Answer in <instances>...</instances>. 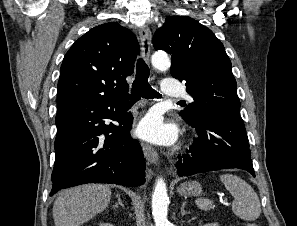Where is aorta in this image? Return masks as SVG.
Listing matches in <instances>:
<instances>
[{"label":"aorta","mask_w":297,"mask_h":226,"mask_svg":"<svg viewBox=\"0 0 297 226\" xmlns=\"http://www.w3.org/2000/svg\"><path fill=\"white\" fill-rule=\"evenodd\" d=\"M152 65L159 70H166L170 67V59L164 52H156L152 55ZM168 194L166 183L162 178L156 181L152 195V214L156 226H167Z\"/></svg>","instance_id":"1"}]
</instances>
